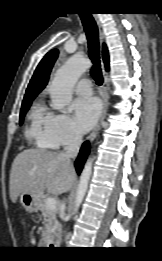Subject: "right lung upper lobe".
<instances>
[{
  "label": "right lung upper lobe",
  "mask_w": 162,
  "mask_h": 261,
  "mask_svg": "<svg viewBox=\"0 0 162 261\" xmlns=\"http://www.w3.org/2000/svg\"><path fill=\"white\" fill-rule=\"evenodd\" d=\"M58 57V50L54 49L47 53L36 68L32 79L26 90L24 101L33 100L46 86L52 66ZM103 60L106 70L109 69V55L106 45H103Z\"/></svg>",
  "instance_id": "cb5924a9"
}]
</instances>
